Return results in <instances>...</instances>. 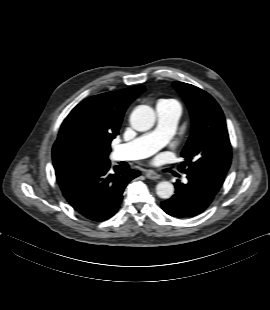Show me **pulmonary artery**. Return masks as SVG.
<instances>
[{
    "label": "pulmonary artery",
    "mask_w": 270,
    "mask_h": 310,
    "mask_svg": "<svg viewBox=\"0 0 270 310\" xmlns=\"http://www.w3.org/2000/svg\"><path fill=\"white\" fill-rule=\"evenodd\" d=\"M181 111L176 107L159 104L156 106L158 125L131 142L118 146L115 150L118 160H138L146 158L162 148L173 136Z\"/></svg>",
    "instance_id": "e3ab8cb5"
}]
</instances>
